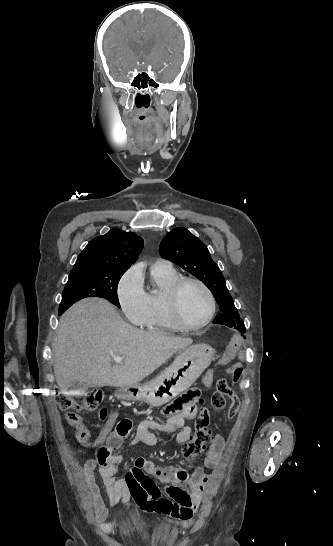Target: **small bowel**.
<instances>
[{
  "mask_svg": "<svg viewBox=\"0 0 333 546\" xmlns=\"http://www.w3.org/2000/svg\"><path fill=\"white\" fill-rule=\"evenodd\" d=\"M240 343L239 337H234L230 346L224 348L219 356V362L214 364V369L220 371L232 361L243 358L238 357L237 348ZM214 376L211 367L205 368L202 386H209V379ZM230 416H235L238 412V404L232 403L227 409ZM164 413L169 415L165 423H159L150 419L141 421L135 431L131 443L143 442L147 445H156L157 436L153 430L172 433L179 430L177 442L186 443L190 437L192 429L186 422L192 419L196 414L193 405L178 407L175 403L167 405ZM117 413H112L100 435L96 440L91 441L88 431L81 435L76 434L79 444L86 448L99 447L106 444L110 448V454L105 458L88 459L82 466L84 478L92 495V501L95 516L106 533L113 531L115 523L107 524L108 510L100 495L99 488L95 483L94 471L98 468L103 485L105 487L108 501L111 505L122 503L124 508L137 505L140 509L154 514L156 516L170 514L180 519L174 524L182 529H189L195 525L194 514L198 511L209 485L210 475L207 468H215L219 465L224 449V439L220 434H215L211 444L208 447L203 466L199 467L193 473L176 466H160L143 458H138L134 465L127 472L126 476L117 479L122 458L114 453L120 448L123 440L130 434L132 427L129 420H123L119 424L126 426L127 430L121 432L119 429H113ZM117 427V426H116ZM156 481L165 484L164 492L169 497H161V490ZM169 521V520H168ZM171 522V521H169Z\"/></svg>",
  "mask_w": 333,
  "mask_h": 546,
  "instance_id": "c3829d8e",
  "label": "small bowel"
}]
</instances>
